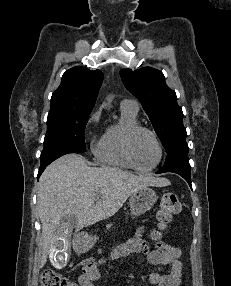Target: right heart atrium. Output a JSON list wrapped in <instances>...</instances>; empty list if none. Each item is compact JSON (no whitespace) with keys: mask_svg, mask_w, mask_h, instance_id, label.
Instances as JSON below:
<instances>
[{"mask_svg":"<svg viewBox=\"0 0 231 286\" xmlns=\"http://www.w3.org/2000/svg\"><path fill=\"white\" fill-rule=\"evenodd\" d=\"M101 117V111L97 110L95 113L92 114L88 121V127L93 128L100 120Z\"/></svg>","mask_w":231,"mask_h":286,"instance_id":"right-heart-atrium-1","label":"right heart atrium"}]
</instances>
